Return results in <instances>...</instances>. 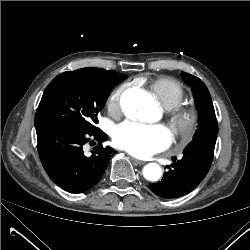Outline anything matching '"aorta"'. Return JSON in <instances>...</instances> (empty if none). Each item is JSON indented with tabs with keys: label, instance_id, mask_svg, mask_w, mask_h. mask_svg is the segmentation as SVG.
I'll return each mask as SVG.
<instances>
[{
	"label": "aorta",
	"instance_id": "762f6f07",
	"mask_svg": "<svg viewBox=\"0 0 250 250\" xmlns=\"http://www.w3.org/2000/svg\"><path fill=\"white\" fill-rule=\"evenodd\" d=\"M146 92L140 89L129 90L122 98V109L127 116L137 115L141 120L154 118L155 110L147 109L144 106ZM143 175L147 180L157 181L162 175L160 166L156 163H149L143 169Z\"/></svg>",
	"mask_w": 250,
	"mask_h": 250
}]
</instances>
